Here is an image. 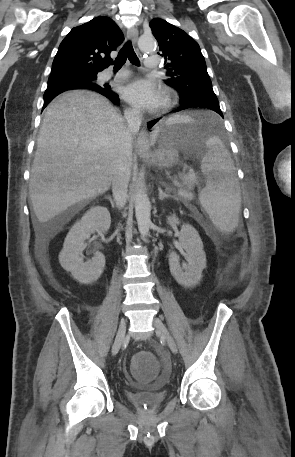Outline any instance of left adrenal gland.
I'll use <instances>...</instances> for the list:
<instances>
[{"label": "left adrenal gland", "mask_w": 295, "mask_h": 457, "mask_svg": "<svg viewBox=\"0 0 295 457\" xmlns=\"http://www.w3.org/2000/svg\"><path fill=\"white\" fill-rule=\"evenodd\" d=\"M158 190H159V199L160 200H164L166 198H171L172 197L171 195L166 194V192H163L160 187L158 188Z\"/></svg>", "instance_id": "a2214340"}]
</instances>
